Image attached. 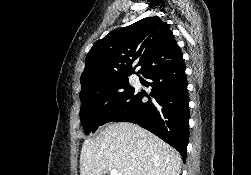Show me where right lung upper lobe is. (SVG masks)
Listing matches in <instances>:
<instances>
[{
    "label": "right lung upper lobe",
    "instance_id": "obj_1",
    "mask_svg": "<svg viewBox=\"0 0 251 175\" xmlns=\"http://www.w3.org/2000/svg\"><path fill=\"white\" fill-rule=\"evenodd\" d=\"M181 60L182 52L169 25L158 16L144 18L95 42L86 57L81 87L130 76L137 66H142L138 72L145 75Z\"/></svg>",
    "mask_w": 251,
    "mask_h": 175
}]
</instances>
